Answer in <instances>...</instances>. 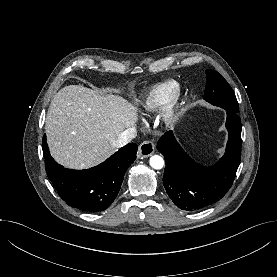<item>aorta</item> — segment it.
I'll list each match as a JSON object with an SVG mask.
<instances>
[{"label":"aorta","mask_w":277,"mask_h":277,"mask_svg":"<svg viewBox=\"0 0 277 277\" xmlns=\"http://www.w3.org/2000/svg\"><path fill=\"white\" fill-rule=\"evenodd\" d=\"M150 165L154 169H162L164 166V160L161 156L159 155H154L150 158Z\"/></svg>","instance_id":"762f6f07"}]
</instances>
